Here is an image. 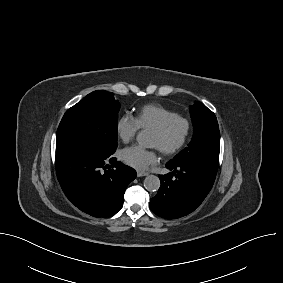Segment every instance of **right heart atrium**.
<instances>
[{
  "mask_svg": "<svg viewBox=\"0 0 283 283\" xmlns=\"http://www.w3.org/2000/svg\"><path fill=\"white\" fill-rule=\"evenodd\" d=\"M139 128L136 119L129 114L120 116L116 121L117 136L124 143L130 142L135 137Z\"/></svg>",
  "mask_w": 283,
  "mask_h": 283,
  "instance_id": "right-heart-atrium-1",
  "label": "right heart atrium"
}]
</instances>
